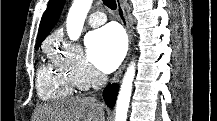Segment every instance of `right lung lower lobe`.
Instances as JSON below:
<instances>
[{"mask_svg":"<svg viewBox=\"0 0 217 121\" xmlns=\"http://www.w3.org/2000/svg\"><path fill=\"white\" fill-rule=\"evenodd\" d=\"M118 86L109 84L103 91V97L109 107H113L117 97Z\"/></svg>","mask_w":217,"mask_h":121,"instance_id":"98d812e1","label":"right lung lower lobe"}]
</instances>
